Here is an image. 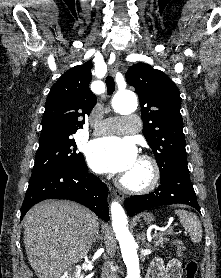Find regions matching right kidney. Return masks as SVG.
Listing matches in <instances>:
<instances>
[{
  "label": "right kidney",
  "instance_id": "obj_1",
  "mask_svg": "<svg viewBox=\"0 0 221 278\" xmlns=\"http://www.w3.org/2000/svg\"><path fill=\"white\" fill-rule=\"evenodd\" d=\"M81 268L80 266L69 267L63 276L60 278H81L80 277Z\"/></svg>",
  "mask_w": 221,
  "mask_h": 278
}]
</instances>
